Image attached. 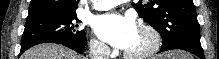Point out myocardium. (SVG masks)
I'll use <instances>...</instances> for the list:
<instances>
[{
  "mask_svg": "<svg viewBox=\"0 0 219 59\" xmlns=\"http://www.w3.org/2000/svg\"><path fill=\"white\" fill-rule=\"evenodd\" d=\"M139 31L149 36L150 44L146 49L140 52L124 50V56L129 59H146L154 55L161 47V36L153 26L144 24L139 28Z\"/></svg>",
  "mask_w": 219,
  "mask_h": 59,
  "instance_id": "f54148a6",
  "label": "myocardium"
}]
</instances>
